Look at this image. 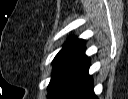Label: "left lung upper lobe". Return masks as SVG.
I'll return each mask as SVG.
<instances>
[{
	"label": "left lung upper lobe",
	"mask_w": 128,
	"mask_h": 99,
	"mask_svg": "<svg viewBox=\"0 0 128 99\" xmlns=\"http://www.w3.org/2000/svg\"><path fill=\"white\" fill-rule=\"evenodd\" d=\"M84 44V40L77 38H71L67 41V43L53 60L54 69L51 80L53 79L58 69L70 58H72L84 46Z\"/></svg>",
	"instance_id": "left-lung-upper-lobe-1"
}]
</instances>
